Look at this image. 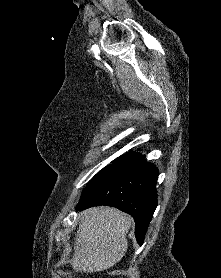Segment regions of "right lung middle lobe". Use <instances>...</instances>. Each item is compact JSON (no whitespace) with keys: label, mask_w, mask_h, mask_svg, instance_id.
<instances>
[{"label":"right lung middle lobe","mask_w":221,"mask_h":278,"mask_svg":"<svg viewBox=\"0 0 221 278\" xmlns=\"http://www.w3.org/2000/svg\"><path fill=\"white\" fill-rule=\"evenodd\" d=\"M135 157H136L135 152L127 153L126 155L116 158L114 161H112V164L108 165L107 167L99 171L87 185L80 200L86 197L87 194H89V192L97 185H99L101 182L105 181L107 178L112 176L121 168L129 165L135 159Z\"/></svg>","instance_id":"right-lung-middle-lobe-1"}]
</instances>
